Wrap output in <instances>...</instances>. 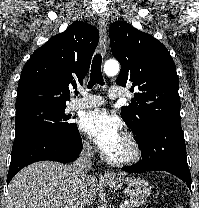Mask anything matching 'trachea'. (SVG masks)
Listing matches in <instances>:
<instances>
[{
  "mask_svg": "<svg viewBox=\"0 0 199 208\" xmlns=\"http://www.w3.org/2000/svg\"><path fill=\"white\" fill-rule=\"evenodd\" d=\"M102 56L97 53L92 61L90 81L88 88H92L95 84L104 85L103 76L101 72Z\"/></svg>",
  "mask_w": 199,
  "mask_h": 208,
  "instance_id": "3493384b",
  "label": "trachea"
}]
</instances>
